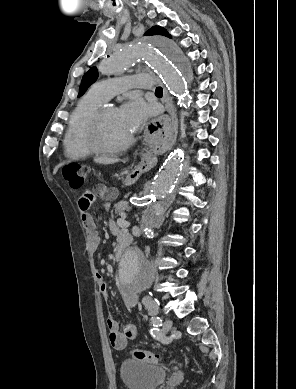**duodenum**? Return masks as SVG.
<instances>
[{"label":"duodenum","instance_id":"duodenum-1","mask_svg":"<svg viewBox=\"0 0 296 389\" xmlns=\"http://www.w3.org/2000/svg\"><path fill=\"white\" fill-rule=\"evenodd\" d=\"M118 242H119V245L114 253V260L115 261H119L122 258L127 247L131 243V237H130V235L122 236L119 238Z\"/></svg>","mask_w":296,"mask_h":389}]
</instances>
